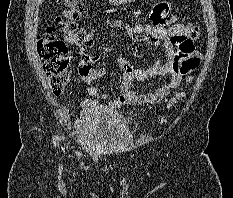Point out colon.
Instances as JSON below:
<instances>
[{"label":"colon","mask_w":233,"mask_h":198,"mask_svg":"<svg viewBox=\"0 0 233 198\" xmlns=\"http://www.w3.org/2000/svg\"><path fill=\"white\" fill-rule=\"evenodd\" d=\"M59 4L64 7V19L57 18L55 25H48L37 37V52L54 93L60 94L71 82L70 71L71 59L66 43L55 34V28L61 31L66 40L79 46H91L93 42L90 31L78 28V20L83 12L82 0H59ZM186 25V50L194 48L193 42L199 39L198 27L192 24ZM201 57L198 55H184L177 57L174 68L181 75L191 74L200 64ZM190 80V79H188ZM182 92H178L170 100L169 107L176 104L181 98Z\"/></svg>","instance_id":"5ec220e1"}]
</instances>
